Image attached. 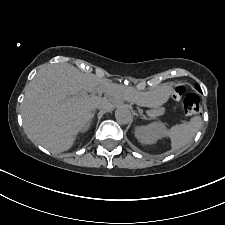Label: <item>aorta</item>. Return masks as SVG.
<instances>
[{
	"mask_svg": "<svg viewBox=\"0 0 225 225\" xmlns=\"http://www.w3.org/2000/svg\"><path fill=\"white\" fill-rule=\"evenodd\" d=\"M115 118L120 124H129L132 122V114L130 110L125 106H120L115 111Z\"/></svg>",
	"mask_w": 225,
	"mask_h": 225,
	"instance_id": "762f6f07",
	"label": "aorta"
}]
</instances>
